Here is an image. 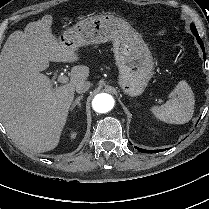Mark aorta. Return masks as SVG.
Masks as SVG:
<instances>
[{"instance_id": "762f6f07", "label": "aorta", "mask_w": 209, "mask_h": 209, "mask_svg": "<svg viewBox=\"0 0 209 209\" xmlns=\"http://www.w3.org/2000/svg\"><path fill=\"white\" fill-rule=\"evenodd\" d=\"M114 98L110 94H97L92 100V108L97 113H107L114 107Z\"/></svg>"}]
</instances>
